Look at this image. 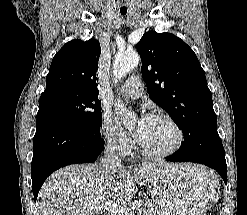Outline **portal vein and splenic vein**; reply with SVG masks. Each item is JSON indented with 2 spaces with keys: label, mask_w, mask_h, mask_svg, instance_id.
<instances>
[{
  "label": "portal vein and splenic vein",
  "mask_w": 247,
  "mask_h": 215,
  "mask_svg": "<svg viewBox=\"0 0 247 215\" xmlns=\"http://www.w3.org/2000/svg\"><path fill=\"white\" fill-rule=\"evenodd\" d=\"M139 206L140 202L136 201L132 205V210H130L110 201H101L94 207V209L96 212H98L104 208L107 212L111 213L112 215H133V210Z\"/></svg>",
  "instance_id": "obj_1"
}]
</instances>
